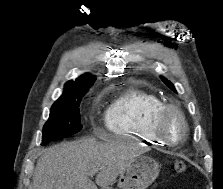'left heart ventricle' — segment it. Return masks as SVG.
Returning a JSON list of instances; mask_svg holds the SVG:
<instances>
[{
    "label": "left heart ventricle",
    "mask_w": 223,
    "mask_h": 189,
    "mask_svg": "<svg viewBox=\"0 0 223 189\" xmlns=\"http://www.w3.org/2000/svg\"><path fill=\"white\" fill-rule=\"evenodd\" d=\"M183 132V125L181 123V120L175 116L172 115L168 118L166 123V135L170 140H178Z\"/></svg>",
    "instance_id": "1"
}]
</instances>
